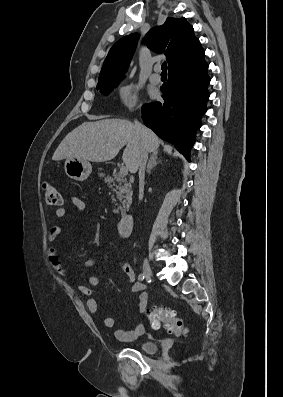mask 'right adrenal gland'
<instances>
[{
    "label": "right adrenal gland",
    "mask_w": 283,
    "mask_h": 397,
    "mask_svg": "<svg viewBox=\"0 0 283 397\" xmlns=\"http://www.w3.org/2000/svg\"><path fill=\"white\" fill-rule=\"evenodd\" d=\"M157 152H153L147 165V173L151 172V169L154 168L160 161L157 160Z\"/></svg>",
    "instance_id": "1"
}]
</instances>
